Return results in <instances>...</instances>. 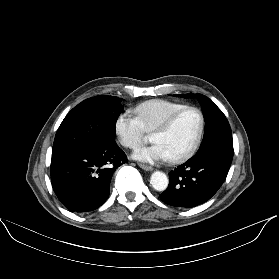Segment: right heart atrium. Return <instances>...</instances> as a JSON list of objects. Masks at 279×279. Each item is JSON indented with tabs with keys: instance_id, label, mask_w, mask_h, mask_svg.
I'll return each instance as SVG.
<instances>
[{
	"instance_id": "obj_1",
	"label": "right heart atrium",
	"mask_w": 279,
	"mask_h": 279,
	"mask_svg": "<svg viewBox=\"0 0 279 279\" xmlns=\"http://www.w3.org/2000/svg\"><path fill=\"white\" fill-rule=\"evenodd\" d=\"M114 130L119 142L129 149L137 148L146 137V131L138 117L129 111L118 115Z\"/></svg>"
}]
</instances>
